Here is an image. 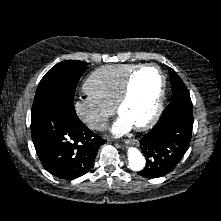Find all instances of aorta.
Segmentation results:
<instances>
[{"instance_id": "762f6f07", "label": "aorta", "mask_w": 221, "mask_h": 221, "mask_svg": "<svg viewBox=\"0 0 221 221\" xmlns=\"http://www.w3.org/2000/svg\"><path fill=\"white\" fill-rule=\"evenodd\" d=\"M129 167L133 171H140L145 166V158L140 151L134 147L128 149Z\"/></svg>"}]
</instances>
